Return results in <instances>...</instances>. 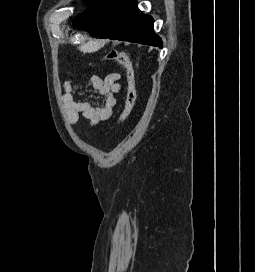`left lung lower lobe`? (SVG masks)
I'll list each match as a JSON object with an SVG mask.
<instances>
[{"instance_id": "left-lung-lower-lobe-1", "label": "left lung lower lobe", "mask_w": 255, "mask_h": 272, "mask_svg": "<svg viewBox=\"0 0 255 272\" xmlns=\"http://www.w3.org/2000/svg\"><path fill=\"white\" fill-rule=\"evenodd\" d=\"M154 20L143 14L136 0H91L73 19V25L97 38H109L162 47L153 30Z\"/></svg>"}]
</instances>
